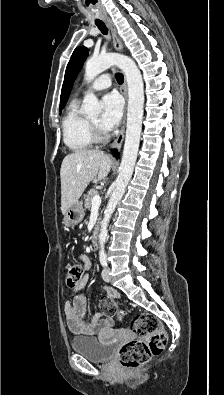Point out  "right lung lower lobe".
Masks as SVG:
<instances>
[{"label":"right lung lower lobe","mask_w":224,"mask_h":395,"mask_svg":"<svg viewBox=\"0 0 224 395\" xmlns=\"http://www.w3.org/2000/svg\"><path fill=\"white\" fill-rule=\"evenodd\" d=\"M112 153H113V155H114L116 158H118V157H119V153H117V151H116V150H113V151H112Z\"/></svg>","instance_id":"right-lung-lower-lobe-1"}]
</instances>
